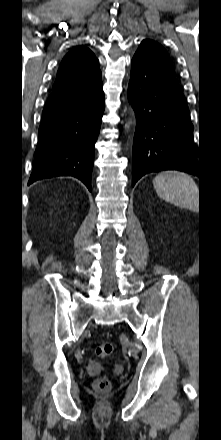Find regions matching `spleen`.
Returning a JSON list of instances; mask_svg holds the SVG:
<instances>
[{"label":"spleen","mask_w":221,"mask_h":440,"mask_svg":"<svg viewBox=\"0 0 221 440\" xmlns=\"http://www.w3.org/2000/svg\"><path fill=\"white\" fill-rule=\"evenodd\" d=\"M158 196L167 202L192 211L199 208V188L186 173L179 171L161 172L153 179Z\"/></svg>","instance_id":"spleen-1"}]
</instances>
